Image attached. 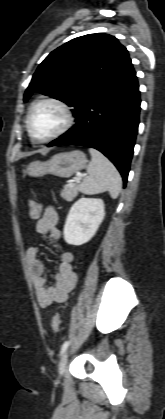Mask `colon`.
<instances>
[{
	"mask_svg": "<svg viewBox=\"0 0 165 419\" xmlns=\"http://www.w3.org/2000/svg\"><path fill=\"white\" fill-rule=\"evenodd\" d=\"M29 213L32 220H38L41 215V205L39 202L32 200L29 203ZM60 316L55 314L51 320V326L54 332L60 329Z\"/></svg>",
	"mask_w": 165,
	"mask_h": 419,
	"instance_id": "obj_1",
	"label": "colon"
}]
</instances>
